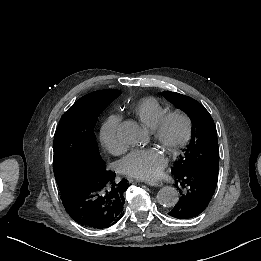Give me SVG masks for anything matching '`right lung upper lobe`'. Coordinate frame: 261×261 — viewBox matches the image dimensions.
Listing matches in <instances>:
<instances>
[{
    "mask_svg": "<svg viewBox=\"0 0 261 261\" xmlns=\"http://www.w3.org/2000/svg\"><path fill=\"white\" fill-rule=\"evenodd\" d=\"M107 90H115V89H107ZM107 90H100V91H95V92H92V93H103V92H106Z\"/></svg>",
    "mask_w": 261,
    "mask_h": 261,
    "instance_id": "right-lung-upper-lobe-1",
    "label": "right lung upper lobe"
}]
</instances>
